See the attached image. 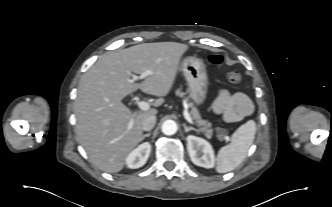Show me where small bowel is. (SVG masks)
I'll list each match as a JSON object with an SVG mask.
<instances>
[{
	"mask_svg": "<svg viewBox=\"0 0 332 207\" xmlns=\"http://www.w3.org/2000/svg\"><path fill=\"white\" fill-rule=\"evenodd\" d=\"M213 109L226 122H236L252 113L253 104L241 92L230 93L227 90H221L214 102Z\"/></svg>",
	"mask_w": 332,
	"mask_h": 207,
	"instance_id": "small-bowel-1",
	"label": "small bowel"
}]
</instances>
